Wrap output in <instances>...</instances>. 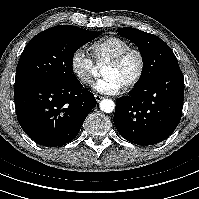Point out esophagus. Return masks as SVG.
I'll use <instances>...</instances> for the list:
<instances>
[{
    "mask_svg": "<svg viewBox=\"0 0 199 199\" xmlns=\"http://www.w3.org/2000/svg\"><path fill=\"white\" fill-rule=\"evenodd\" d=\"M94 97H95V99H96L97 102H100L103 99L102 96L97 95V94H95Z\"/></svg>",
    "mask_w": 199,
    "mask_h": 199,
    "instance_id": "1",
    "label": "esophagus"
}]
</instances>
